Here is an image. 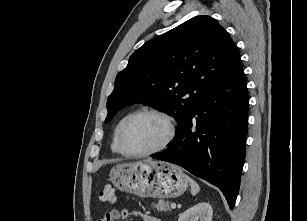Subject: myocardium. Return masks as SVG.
<instances>
[{
    "instance_id": "f54148a6",
    "label": "myocardium",
    "mask_w": 307,
    "mask_h": 221,
    "mask_svg": "<svg viewBox=\"0 0 307 221\" xmlns=\"http://www.w3.org/2000/svg\"><path fill=\"white\" fill-rule=\"evenodd\" d=\"M145 114H150V115H154L157 116L159 118H161L167 127V134L166 137L164 138V140L155 148L145 151V152H140V153H132L126 150L125 146H124V135L125 132L128 128V126L130 125V123L137 117L141 116V115H145ZM176 135V123L174 118L166 113L165 111H162L160 109H156V108H144V109H140L132 114H130L126 120L124 121V123L122 124L119 133H118V138H117V146H118V150L119 152L129 158H142V157H147V156H151L154 155L158 152L163 151L164 149H166L170 143L172 142V140L174 139Z\"/></svg>"
}]
</instances>
